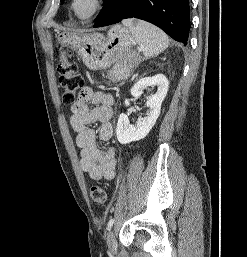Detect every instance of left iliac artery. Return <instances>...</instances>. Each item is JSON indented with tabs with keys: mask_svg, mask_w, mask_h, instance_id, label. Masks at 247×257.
<instances>
[{
	"mask_svg": "<svg viewBox=\"0 0 247 257\" xmlns=\"http://www.w3.org/2000/svg\"><path fill=\"white\" fill-rule=\"evenodd\" d=\"M113 223H114V219L111 218V219L109 220L108 224H107V229H108V230L111 229V227L113 226Z\"/></svg>",
	"mask_w": 247,
	"mask_h": 257,
	"instance_id": "left-iliac-artery-1",
	"label": "left iliac artery"
}]
</instances>
